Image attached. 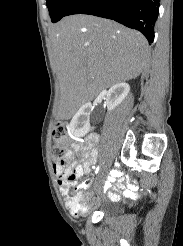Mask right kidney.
Wrapping results in <instances>:
<instances>
[{
  "mask_svg": "<svg viewBox=\"0 0 183 246\" xmlns=\"http://www.w3.org/2000/svg\"><path fill=\"white\" fill-rule=\"evenodd\" d=\"M130 86L127 83H117L107 92L106 103L108 111L115 109L128 95ZM93 107L91 103L84 104L71 120L70 130L75 136H83L89 129V117Z\"/></svg>",
  "mask_w": 183,
  "mask_h": 246,
  "instance_id": "1",
  "label": "right kidney"
}]
</instances>
